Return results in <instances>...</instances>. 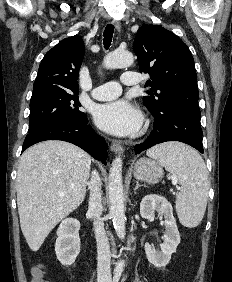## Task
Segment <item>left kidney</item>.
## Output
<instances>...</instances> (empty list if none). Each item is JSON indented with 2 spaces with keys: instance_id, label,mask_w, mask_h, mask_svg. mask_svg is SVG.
I'll return each mask as SVG.
<instances>
[{
  "instance_id": "5707ae66",
  "label": "left kidney",
  "mask_w": 232,
  "mask_h": 282,
  "mask_svg": "<svg viewBox=\"0 0 232 282\" xmlns=\"http://www.w3.org/2000/svg\"><path fill=\"white\" fill-rule=\"evenodd\" d=\"M155 211L164 216L165 243L161 247V251H156L149 243H146L145 253L148 261L155 267L160 268L166 266L171 259V255L176 252V248L180 243V235L173 216L171 203L165 197L157 194L145 196L140 203L141 216L150 219L154 216Z\"/></svg>"
}]
</instances>
